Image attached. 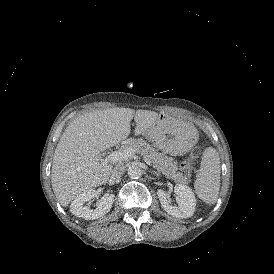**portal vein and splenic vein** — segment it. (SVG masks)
Here are the masks:
<instances>
[{"label": "portal vein and splenic vein", "mask_w": 274, "mask_h": 274, "mask_svg": "<svg viewBox=\"0 0 274 274\" xmlns=\"http://www.w3.org/2000/svg\"><path fill=\"white\" fill-rule=\"evenodd\" d=\"M135 154V149L132 147H127L119 151H113L111 154H109L105 159H101L102 162L108 163V162H120L127 160L129 157L133 156ZM144 161L146 164L150 165V160L144 156Z\"/></svg>", "instance_id": "1"}]
</instances>
